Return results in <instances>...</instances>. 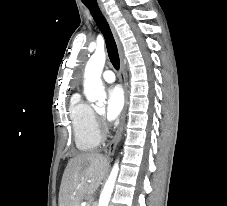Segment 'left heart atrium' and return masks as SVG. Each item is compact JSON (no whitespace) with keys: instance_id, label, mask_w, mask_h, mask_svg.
I'll return each mask as SVG.
<instances>
[{"instance_id":"1","label":"left heart atrium","mask_w":227,"mask_h":206,"mask_svg":"<svg viewBox=\"0 0 227 206\" xmlns=\"http://www.w3.org/2000/svg\"><path fill=\"white\" fill-rule=\"evenodd\" d=\"M124 105L123 91L119 86L111 87L107 92L106 117L114 121L121 113Z\"/></svg>"}]
</instances>
